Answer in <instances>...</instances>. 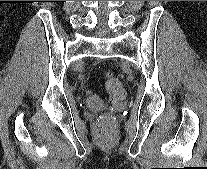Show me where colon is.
<instances>
[{"instance_id":"1","label":"colon","mask_w":207,"mask_h":169,"mask_svg":"<svg viewBox=\"0 0 207 169\" xmlns=\"http://www.w3.org/2000/svg\"><path fill=\"white\" fill-rule=\"evenodd\" d=\"M105 88L113 103L122 101L125 98V88L122 82L112 73L106 75ZM97 139L102 143H110L116 136V125L110 115L104 116L95 126Z\"/></svg>"}]
</instances>
